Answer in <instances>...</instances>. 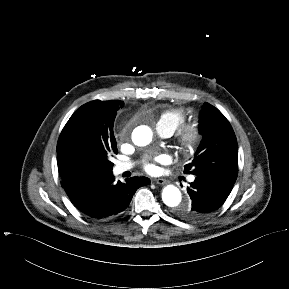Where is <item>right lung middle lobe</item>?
<instances>
[{"mask_svg": "<svg viewBox=\"0 0 289 289\" xmlns=\"http://www.w3.org/2000/svg\"><path fill=\"white\" fill-rule=\"evenodd\" d=\"M122 101L94 100L82 105L63 128L57 154L70 169L86 176L111 173L117 143L113 123Z\"/></svg>", "mask_w": 289, "mask_h": 289, "instance_id": "1", "label": "right lung middle lobe"}]
</instances>
